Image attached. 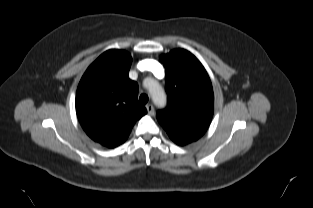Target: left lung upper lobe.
I'll return each instance as SVG.
<instances>
[{
  "instance_id": "5c2ea615",
  "label": "left lung upper lobe",
  "mask_w": 313,
  "mask_h": 208,
  "mask_svg": "<svg viewBox=\"0 0 313 208\" xmlns=\"http://www.w3.org/2000/svg\"><path fill=\"white\" fill-rule=\"evenodd\" d=\"M166 69L168 105L156 117L178 145L198 140L213 116L214 95L209 76L199 60L184 49L160 57Z\"/></svg>"
}]
</instances>
